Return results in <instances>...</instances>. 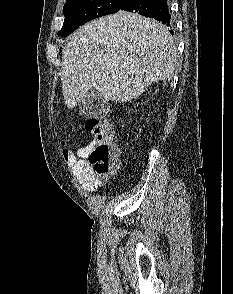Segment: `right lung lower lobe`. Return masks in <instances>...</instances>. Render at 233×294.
I'll return each instance as SVG.
<instances>
[{
	"mask_svg": "<svg viewBox=\"0 0 233 294\" xmlns=\"http://www.w3.org/2000/svg\"><path fill=\"white\" fill-rule=\"evenodd\" d=\"M120 10L138 13L145 17L154 18L171 28V15L167 0H126ZM174 34L173 30H170Z\"/></svg>",
	"mask_w": 233,
	"mask_h": 294,
	"instance_id": "1",
	"label": "right lung lower lobe"
}]
</instances>
